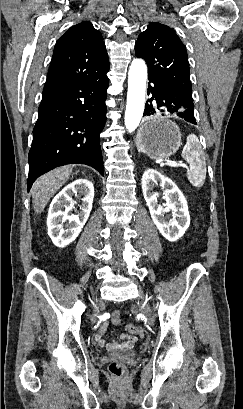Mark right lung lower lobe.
<instances>
[{
	"mask_svg": "<svg viewBox=\"0 0 243 409\" xmlns=\"http://www.w3.org/2000/svg\"><path fill=\"white\" fill-rule=\"evenodd\" d=\"M45 85L29 151L27 190L55 167L78 163L104 175L100 133L106 122L108 77Z\"/></svg>",
	"mask_w": 243,
	"mask_h": 409,
	"instance_id": "1",
	"label": "right lung lower lobe"
}]
</instances>
